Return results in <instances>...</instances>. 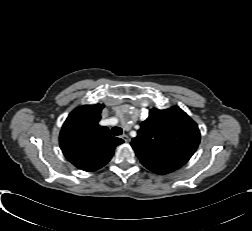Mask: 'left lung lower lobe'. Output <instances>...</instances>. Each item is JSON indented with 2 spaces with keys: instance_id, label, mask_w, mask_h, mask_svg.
I'll list each match as a JSON object with an SVG mask.
<instances>
[{
  "instance_id": "1",
  "label": "left lung lower lobe",
  "mask_w": 252,
  "mask_h": 231,
  "mask_svg": "<svg viewBox=\"0 0 252 231\" xmlns=\"http://www.w3.org/2000/svg\"><path fill=\"white\" fill-rule=\"evenodd\" d=\"M146 168L157 174H167L173 172L181 167L177 164H167V163H148L144 164Z\"/></svg>"
}]
</instances>
